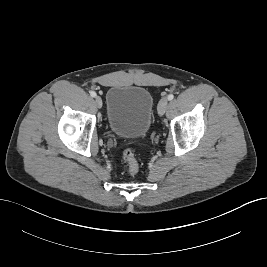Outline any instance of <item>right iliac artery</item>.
I'll return each mask as SVG.
<instances>
[{
  "mask_svg": "<svg viewBox=\"0 0 267 267\" xmlns=\"http://www.w3.org/2000/svg\"><path fill=\"white\" fill-rule=\"evenodd\" d=\"M90 95H91L92 97H96V92L91 91V92H90Z\"/></svg>",
  "mask_w": 267,
  "mask_h": 267,
  "instance_id": "82829eb1",
  "label": "right iliac artery"
}]
</instances>
